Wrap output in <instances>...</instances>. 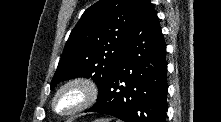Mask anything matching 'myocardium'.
<instances>
[{"label": "myocardium", "instance_id": "obj_1", "mask_svg": "<svg viewBox=\"0 0 221 122\" xmlns=\"http://www.w3.org/2000/svg\"><path fill=\"white\" fill-rule=\"evenodd\" d=\"M69 90H78L81 94V100L76 107L61 111L57 108V101L62 94ZM98 94V86L92 79L83 76L73 77L63 82L57 88L51 100V107L60 116H73L91 107L96 102Z\"/></svg>", "mask_w": 221, "mask_h": 122}]
</instances>
